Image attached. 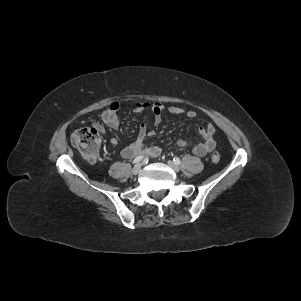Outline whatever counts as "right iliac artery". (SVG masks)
<instances>
[{
	"mask_svg": "<svg viewBox=\"0 0 301 301\" xmlns=\"http://www.w3.org/2000/svg\"><path fill=\"white\" fill-rule=\"evenodd\" d=\"M145 157L143 155L141 156H138L136 157L134 160H133V164H136V163H139L141 160H143ZM147 159V158H145Z\"/></svg>",
	"mask_w": 301,
	"mask_h": 301,
	"instance_id": "right-iliac-artery-1",
	"label": "right iliac artery"
}]
</instances>
